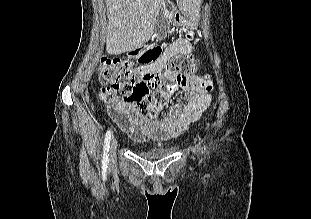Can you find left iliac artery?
I'll return each mask as SVG.
<instances>
[{"label": "left iliac artery", "mask_w": 311, "mask_h": 219, "mask_svg": "<svg viewBox=\"0 0 311 219\" xmlns=\"http://www.w3.org/2000/svg\"><path fill=\"white\" fill-rule=\"evenodd\" d=\"M204 150H206V146H204Z\"/></svg>", "instance_id": "left-iliac-artery-1"}]
</instances>
